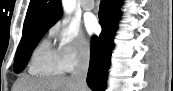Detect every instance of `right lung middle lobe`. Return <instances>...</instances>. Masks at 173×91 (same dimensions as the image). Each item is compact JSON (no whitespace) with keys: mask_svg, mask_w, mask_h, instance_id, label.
I'll list each match as a JSON object with an SVG mask.
<instances>
[{"mask_svg":"<svg viewBox=\"0 0 173 91\" xmlns=\"http://www.w3.org/2000/svg\"><path fill=\"white\" fill-rule=\"evenodd\" d=\"M51 26L44 24L29 31L23 32L14 61V72L20 73L26 66L29 57L44 33Z\"/></svg>","mask_w":173,"mask_h":91,"instance_id":"dd1d6c3e","label":"right lung middle lobe"}]
</instances>
